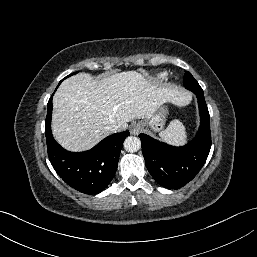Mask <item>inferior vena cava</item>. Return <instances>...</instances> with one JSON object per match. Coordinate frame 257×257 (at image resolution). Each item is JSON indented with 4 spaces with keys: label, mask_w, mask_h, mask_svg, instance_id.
Instances as JSON below:
<instances>
[{
    "label": "inferior vena cava",
    "mask_w": 257,
    "mask_h": 257,
    "mask_svg": "<svg viewBox=\"0 0 257 257\" xmlns=\"http://www.w3.org/2000/svg\"><path fill=\"white\" fill-rule=\"evenodd\" d=\"M105 129L110 133L116 132L119 129V126L116 124H109L105 127Z\"/></svg>",
    "instance_id": "inferior-vena-cava-1"
}]
</instances>
